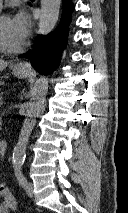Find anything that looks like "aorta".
<instances>
[{
  "label": "aorta",
  "mask_w": 128,
  "mask_h": 213,
  "mask_svg": "<svg viewBox=\"0 0 128 213\" xmlns=\"http://www.w3.org/2000/svg\"><path fill=\"white\" fill-rule=\"evenodd\" d=\"M61 0H41V12L39 19V32L41 34L50 33L55 27L60 11ZM48 82L41 78L35 85L32 100L27 104V118L23 122L18 142L12 153L13 167H21L26 158V148L29 137L36 124L34 117L41 111L39 100L46 94Z\"/></svg>",
  "instance_id": "aorta-1"
}]
</instances>
